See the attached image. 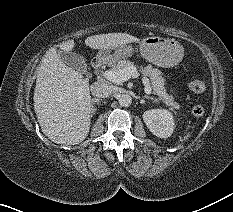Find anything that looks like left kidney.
Masks as SVG:
<instances>
[{
	"mask_svg": "<svg viewBox=\"0 0 233 212\" xmlns=\"http://www.w3.org/2000/svg\"><path fill=\"white\" fill-rule=\"evenodd\" d=\"M143 121L148 129L160 138L170 137L175 128L173 115L166 109H152L144 112Z\"/></svg>",
	"mask_w": 233,
	"mask_h": 212,
	"instance_id": "1",
	"label": "left kidney"
}]
</instances>
